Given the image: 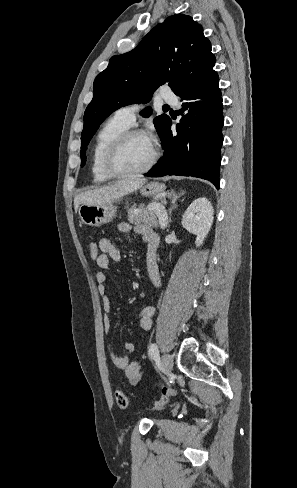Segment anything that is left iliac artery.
<instances>
[{"label": "left iliac artery", "instance_id": "1", "mask_svg": "<svg viewBox=\"0 0 297 488\" xmlns=\"http://www.w3.org/2000/svg\"><path fill=\"white\" fill-rule=\"evenodd\" d=\"M148 352L152 359L158 358L159 356L158 346L155 343L150 344Z\"/></svg>", "mask_w": 297, "mask_h": 488}]
</instances>
